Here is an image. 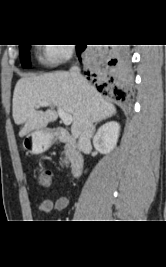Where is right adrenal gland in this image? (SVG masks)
I'll return each mask as SVG.
<instances>
[{"label":"right adrenal gland","mask_w":166,"mask_h":267,"mask_svg":"<svg viewBox=\"0 0 166 267\" xmlns=\"http://www.w3.org/2000/svg\"><path fill=\"white\" fill-rule=\"evenodd\" d=\"M98 123H99V122H97V123L95 124V126H94V128H93V133L95 132V130H96V126H97Z\"/></svg>","instance_id":"2a0ac1e0"}]
</instances>
